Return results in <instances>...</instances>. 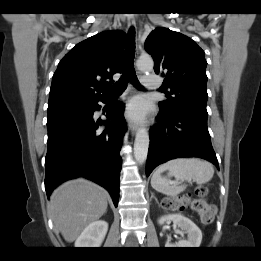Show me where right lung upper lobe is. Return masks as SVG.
<instances>
[{
	"label": "right lung upper lobe",
	"mask_w": 261,
	"mask_h": 261,
	"mask_svg": "<svg viewBox=\"0 0 261 261\" xmlns=\"http://www.w3.org/2000/svg\"><path fill=\"white\" fill-rule=\"evenodd\" d=\"M125 38L121 30L103 31L75 45L58 64L49 102L106 97L110 77L122 72Z\"/></svg>",
	"instance_id": "right-lung-upper-lobe-1"
}]
</instances>
